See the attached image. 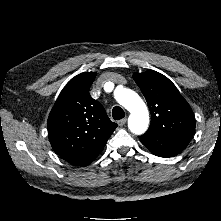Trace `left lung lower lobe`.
Here are the masks:
<instances>
[{
  "label": "left lung lower lobe",
  "instance_id": "1",
  "mask_svg": "<svg viewBox=\"0 0 221 221\" xmlns=\"http://www.w3.org/2000/svg\"><path fill=\"white\" fill-rule=\"evenodd\" d=\"M140 141L157 156L173 157L186 148L190 142V138L165 137L146 132L144 135L140 136Z\"/></svg>",
  "mask_w": 221,
  "mask_h": 221
}]
</instances>
